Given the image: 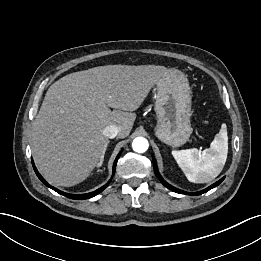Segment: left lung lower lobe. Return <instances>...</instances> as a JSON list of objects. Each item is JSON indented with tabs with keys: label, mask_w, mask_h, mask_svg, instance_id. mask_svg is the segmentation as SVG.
Wrapping results in <instances>:
<instances>
[{
	"label": "left lung lower lobe",
	"mask_w": 261,
	"mask_h": 261,
	"mask_svg": "<svg viewBox=\"0 0 261 261\" xmlns=\"http://www.w3.org/2000/svg\"><path fill=\"white\" fill-rule=\"evenodd\" d=\"M152 159H153V165H154V172L156 174V176L159 178V180L161 181V183L166 186L168 189L174 191V192H177V193H180V194H188V195H200V194H203L207 191H209L210 189L218 186L224 179L225 177L221 178L219 181H217L216 183L212 184L211 186H209L208 188L204 189V190H201L199 192H195V193H188V192H185V191H182V190H179L171 185H169L167 182L164 181V179L161 177V175L159 174L158 172V168H157V164H156V161H155V158L154 156H152Z\"/></svg>",
	"instance_id": "left-lung-lower-lobe-1"
}]
</instances>
